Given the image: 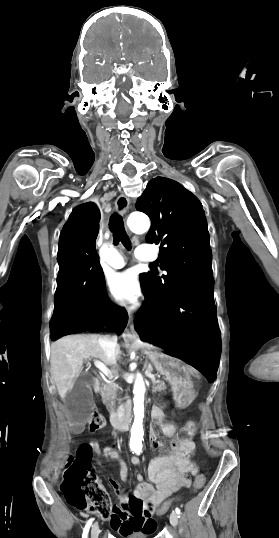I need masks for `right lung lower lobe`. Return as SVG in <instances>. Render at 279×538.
<instances>
[{"instance_id": "right-lung-lower-lobe-1", "label": "right lung lower lobe", "mask_w": 279, "mask_h": 538, "mask_svg": "<svg viewBox=\"0 0 279 538\" xmlns=\"http://www.w3.org/2000/svg\"><path fill=\"white\" fill-rule=\"evenodd\" d=\"M99 220L97 206L85 203L72 211L61 231L57 256L60 268L50 327L52 339L98 331L104 324H115L120 334L127 324L126 310L107 298L95 248Z\"/></svg>"}]
</instances>
